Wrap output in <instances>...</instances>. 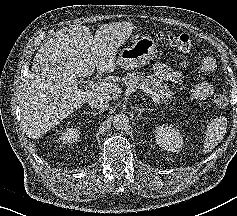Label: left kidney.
Masks as SVG:
<instances>
[{"label": "left kidney", "instance_id": "left-kidney-1", "mask_svg": "<svg viewBox=\"0 0 237 216\" xmlns=\"http://www.w3.org/2000/svg\"><path fill=\"white\" fill-rule=\"evenodd\" d=\"M156 141L159 147L164 150L176 152L182 146L178 132L173 127L163 125L156 130Z\"/></svg>", "mask_w": 237, "mask_h": 216}]
</instances>
